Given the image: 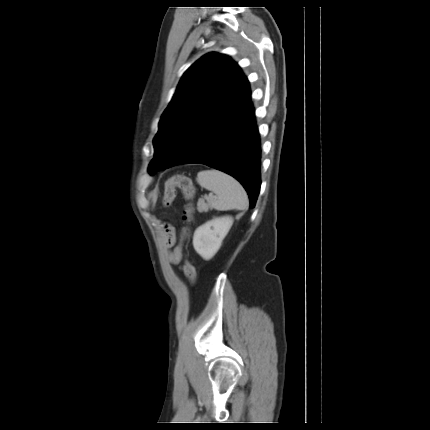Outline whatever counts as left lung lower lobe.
Listing matches in <instances>:
<instances>
[{"label": "left lung lower lobe", "instance_id": "1", "mask_svg": "<svg viewBox=\"0 0 430 430\" xmlns=\"http://www.w3.org/2000/svg\"><path fill=\"white\" fill-rule=\"evenodd\" d=\"M261 147L252 102L244 110L225 119L206 116L194 128L185 147L174 153L161 167L201 163L236 178L245 188L254 208L260 190Z\"/></svg>", "mask_w": 430, "mask_h": 430}]
</instances>
